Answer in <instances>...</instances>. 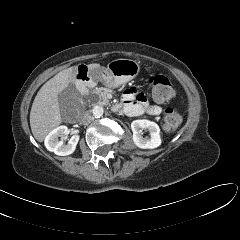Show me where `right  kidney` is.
<instances>
[{
    "label": "right kidney",
    "mask_w": 240,
    "mask_h": 240,
    "mask_svg": "<svg viewBox=\"0 0 240 240\" xmlns=\"http://www.w3.org/2000/svg\"><path fill=\"white\" fill-rule=\"evenodd\" d=\"M68 131L67 126H59L52 130L45 138L44 144L47 150L54 152L56 155L59 156H66L72 154L75 149L76 145L79 141V135H74L65 145L62 138L61 140L59 137H62Z\"/></svg>",
    "instance_id": "obj_1"
}]
</instances>
